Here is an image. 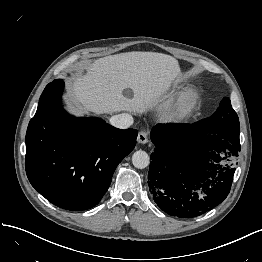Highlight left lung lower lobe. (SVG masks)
<instances>
[{
  "label": "left lung lower lobe",
  "mask_w": 262,
  "mask_h": 262,
  "mask_svg": "<svg viewBox=\"0 0 262 262\" xmlns=\"http://www.w3.org/2000/svg\"><path fill=\"white\" fill-rule=\"evenodd\" d=\"M148 185L156 204L179 218L200 216L230 192L241 149L239 131L211 132L193 124L152 128Z\"/></svg>",
  "instance_id": "left-lung-lower-lobe-1"
}]
</instances>
